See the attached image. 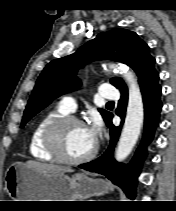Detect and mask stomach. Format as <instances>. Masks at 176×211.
I'll use <instances>...</instances> for the list:
<instances>
[{
  "instance_id": "stomach-1",
  "label": "stomach",
  "mask_w": 176,
  "mask_h": 211,
  "mask_svg": "<svg viewBox=\"0 0 176 211\" xmlns=\"http://www.w3.org/2000/svg\"><path fill=\"white\" fill-rule=\"evenodd\" d=\"M5 188L13 201H76L109 191L103 179L78 173L69 177L62 172H45L17 162L5 172Z\"/></svg>"
}]
</instances>
